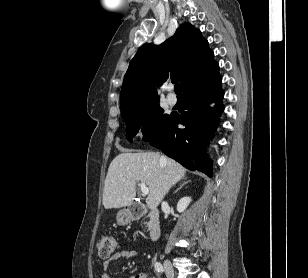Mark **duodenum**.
<instances>
[{"label":"duodenum","mask_w":308,"mask_h":278,"mask_svg":"<svg viewBox=\"0 0 308 278\" xmlns=\"http://www.w3.org/2000/svg\"><path fill=\"white\" fill-rule=\"evenodd\" d=\"M144 214H147L149 217L148 232L150 238L152 240L158 239L161 233V225H160V214L156 208L145 209L142 207L132 205L128 209L127 218L129 220H136Z\"/></svg>","instance_id":"1"}]
</instances>
